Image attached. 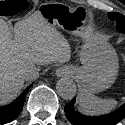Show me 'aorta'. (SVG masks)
Here are the masks:
<instances>
[{
  "label": "aorta",
  "mask_w": 125,
  "mask_h": 125,
  "mask_svg": "<svg viewBox=\"0 0 125 125\" xmlns=\"http://www.w3.org/2000/svg\"><path fill=\"white\" fill-rule=\"evenodd\" d=\"M57 93L66 100L72 99L76 95V84L70 78H62L56 84Z\"/></svg>",
  "instance_id": "obj_1"
}]
</instances>
